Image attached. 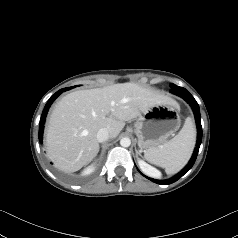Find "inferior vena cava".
<instances>
[{
  "instance_id": "inferior-vena-cava-1",
  "label": "inferior vena cava",
  "mask_w": 238,
  "mask_h": 238,
  "mask_svg": "<svg viewBox=\"0 0 238 238\" xmlns=\"http://www.w3.org/2000/svg\"><path fill=\"white\" fill-rule=\"evenodd\" d=\"M97 140L98 142H105L107 141L110 136H109V131L106 128H101L98 132H97Z\"/></svg>"
}]
</instances>
